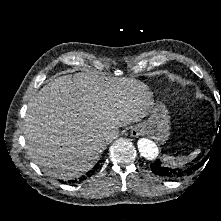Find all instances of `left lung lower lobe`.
I'll list each match as a JSON object with an SVG mask.
<instances>
[{
    "mask_svg": "<svg viewBox=\"0 0 221 221\" xmlns=\"http://www.w3.org/2000/svg\"><path fill=\"white\" fill-rule=\"evenodd\" d=\"M205 159L202 160L201 163L197 165H193L191 167L185 169H173L162 163L159 159H157L154 163L150 165L154 174L167 177V178H180L185 175H190L193 171L199 169L204 162Z\"/></svg>",
    "mask_w": 221,
    "mask_h": 221,
    "instance_id": "obj_1",
    "label": "left lung lower lobe"
}]
</instances>
